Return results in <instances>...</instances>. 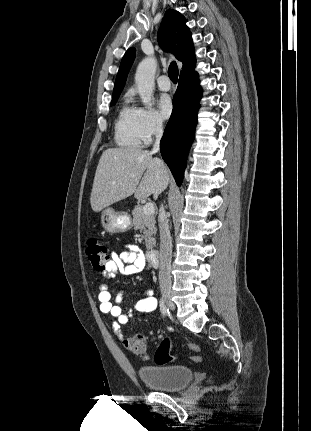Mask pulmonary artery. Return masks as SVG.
I'll list each match as a JSON object with an SVG mask.
<instances>
[{
	"instance_id": "pulmonary-artery-1",
	"label": "pulmonary artery",
	"mask_w": 311,
	"mask_h": 431,
	"mask_svg": "<svg viewBox=\"0 0 311 431\" xmlns=\"http://www.w3.org/2000/svg\"><path fill=\"white\" fill-rule=\"evenodd\" d=\"M158 87L162 91H169L171 89L172 84L167 75H162L158 78Z\"/></svg>"
}]
</instances>
